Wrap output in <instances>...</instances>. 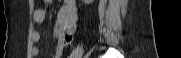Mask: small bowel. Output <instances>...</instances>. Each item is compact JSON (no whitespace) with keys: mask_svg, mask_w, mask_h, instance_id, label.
Listing matches in <instances>:
<instances>
[{"mask_svg":"<svg viewBox=\"0 0 181 58\" xmlns=\"http://www.w3.org/2000/svg\"><path fill=\"white\" fill-rule=\"evenodd\" d=\"M46 19V11L44 8H37L33 12V21L37 24H41ZM78 20V7L75 0H66L61 7L58 17L54 26V38L56 40V46L53 53V58H60L65 47L71 44L73 40V34L76 28V22ZM32 40L34 43L39 42L40 34L38 31H34L32 34ZM39 48L34 45L32 47V54L38 55Z\"/></svg>","mask_w":181,"mask_h":58,"instance_id":"small-bowel-1","label":"small bowel"}]
</instances>
